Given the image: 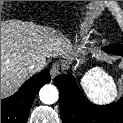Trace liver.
I'll return each instance as SVG.
<instances>
[{
  "instance_id": "liver-1",
  "label": "liver",
  "mask_w": 123,
  "mask_h": 123,
  "mask_svg": "<svg viewBox=\"0 0 123 123\" xmlns=\"http://www.w3.org/2000/svg\"><path fill=\"white\" fill-rule=\"evenodd\" d=\"M68 40L55 30L19 20L1 21V98L14 93L32 73L28 66L62 55Z\"/></svg>"
}]
</instances>
